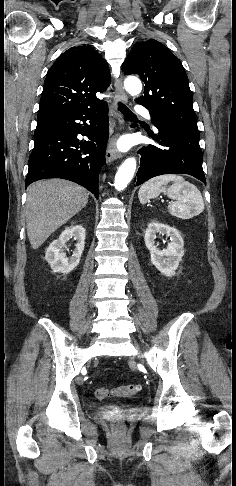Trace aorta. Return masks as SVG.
Returning a JSON list of instances; mask_svg holds the SVG:
<instances>
[{"label": "aorta", "mask_w": 236, "mask_h": 486, "mask_svg": "<svg viewBox=\"0 0 236 486\" xmlns=\"http://www.w3.org/2000/svg\"><path fill=\"white\" fill-rule=\"evenodd\" d=\"M124 87L131 95H137L142 90V84L136 77H128L124 82ZM136 170V159L134 157L127 158L119 167L114 181V186L117 190H122L127 187L132 180Z\"/></svg>", "instance_id": "obj_1"}]
</instances>
